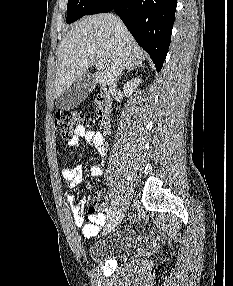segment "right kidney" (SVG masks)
<instances>
[{
  "mask_svg": "<svg viewBox=\"0 0 233 286\" xmlns=\"http://www.w3.org/2000/svg\"><path fill=\"white\" fill-rule=\"evenodd\" d=\"M141 82H142V80L139 77L134 78L131 81L127 82L123 87L124 94L127 97L131 96V94L133 93V90L136 87H138Z\"/></svg>",
  "mask_w": 233,
  "mask_h": 286,
  "instance_id": "ca27d5eb",
  "label": "right kidney"
}]
</instances>
